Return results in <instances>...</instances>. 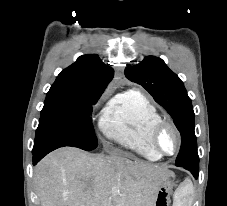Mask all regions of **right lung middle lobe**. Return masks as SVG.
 I'll return each instance as SVG.
<instances>
[{
	"instance_id": "1",
	"label": "right lung middle lobe",
	"mask_w": 227,
	"mask_h": 206,
	"mask_svg": "<svg viewBox=\"0 0 227 206\" xmlns=\"http://www.w3.org/2000/svg\"><path fill=\"white\" fill-rule=\"evenodd\" d=\"M100 96L49 90L41 111L33 150L47 146H73L86 151L97 147L90 120L91 105Z\"/></svg>"
}]
</instances>
